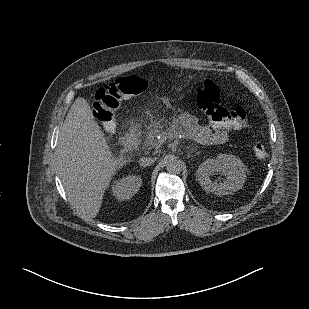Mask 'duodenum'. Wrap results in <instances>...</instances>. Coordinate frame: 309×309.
I'll use <instances>...</instances> for the list:
<instances>
[{
    "mask_svg": "<svg viewBox=\"0 0 309 309\" xmlns=\"http://www.w3.org/2000/svg\"><path fill=\"white\" fill-rule=\"evenodd\" d=\"M140 137V132L137 127L128 129L122 138V146L125 149H133Z\"/></svg>",
    "mask_w": 309,
    "mask_h": 309,
    "instance_id": "obj_1",
    "label": "duodenum"
}]
</instances>
